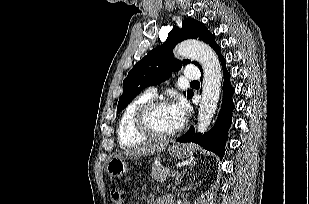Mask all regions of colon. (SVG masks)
<instances>
[{
  "mask_svg": "<svg viewBox=\"0 0 309 204\" xmlns=\"http://www.w3.org/2000/svg\"><path fill=\"white\" fill-rule=\"evenodd\" d=\"M111 199L113 204H123L124 191L120 188H112L110 191Z\"/></svg>",
  "mask_w": 309,
  "mask_h": 204,
  "instance_id": "colon-1",
  "label": "colon"
}]
</instances>
